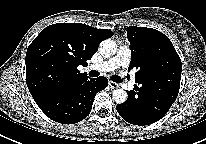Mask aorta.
I'll return each instance as SVG.
<instances>
[{
    "mask_svg": "<svg viewBox=\"0 0 206 144\" xmlns=\"http://www.w3.org/2000/svg\"><path fill=\"white\" fill-rule=\"evenodd\" d=\"M99 51L102 56L108 58L115 55L117 51V45L113 40L106 39L100 43ZM112 96L117 104H122L127 100L128 94L123 89H115L112 93Z\"/></svg>",
    "mask_w": 206,
    "mask_h": 144,
    "instance_id": "762f6f07",
    "label": "aorta"
}]
</instances>
